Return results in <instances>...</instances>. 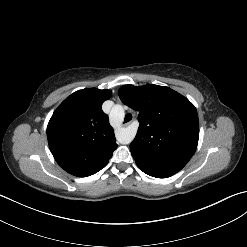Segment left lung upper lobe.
<instances>
[{"label": "left lung upper lobe", "mask_w": 247, "mask_h": 247, "mask_svg": "<svg viewBox=\"0 0 247 247\" xmlns=\"http://www.w3.org/2000/svg\"><path fill=\"white\" fill-rule=\"evenodd\" d=\"M121 101L139 111L140 126L130 144L134 159L160 172L175 174L193 156L199 139L194 105L169 87L123 85Z\"/></svg>", "instance_id": "left-lung-upper-lobe-1"}]
</instances>
